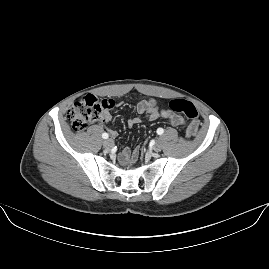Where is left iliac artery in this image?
Wrapping results in <instances>:
<instances>
[{
	"label": "left iliac artery",
	"instance_id": "1",
	"mask_svg": "<svg viewBox=\"0 0 269 269\" xmlns=\"http://www.w3.org/2000/svg\"><path fill=\"white\" fill-rule=\"evenodd\" d=\"M164 133V130L162 128L157 129V134L162 135Z\"/></svg>",
	"mask_w": 269,
	"mask_h": 269
}]
</instances>
